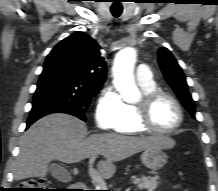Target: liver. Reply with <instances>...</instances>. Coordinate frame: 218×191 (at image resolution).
<instances>
[{
    "mask_svg": "<svg viewBox=\"0 0 218 191\" xmlns=\"http://www.w3.org/2000/svg\"><path fill=\"white\" fill-rule=\"evenodd\" d=\"M84 122L68 114H51L35 122L22 136L15 162L14 178L45 177L52 160L77 163L101 154L100 175L110 178L116 171L114 162L124 160L148 148L169 149L175 141L164 135L125 136L93 134L85 138Z\"/></svg>",
    "mask_w": 218,
    "mask_h": 191,
    "instance_id": "1",
    "label": "liver"
}]
</instances>
